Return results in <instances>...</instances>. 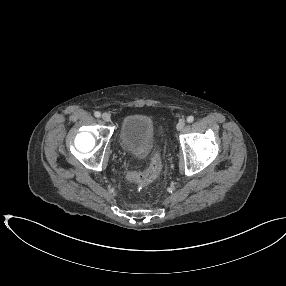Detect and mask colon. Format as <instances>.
<instances>
[{
    "label": "colon",
    "instance_id": "colon-1",
    "mask_svg": "<svg viewBox=\"0 0 286 286\" xmlns=\"http://www.w3.org/2000/svg\"><path fill=\"white\" fill-rule=\"evenodd\" d=\"M162 169V158L159 152H156L150 162L148 168L144 171H130L128 179L133 182L147 184L154 181L160 174Z\"/></svg>",
    "mask_w": 286,
    "mask_h": 286
}]
</instances>
